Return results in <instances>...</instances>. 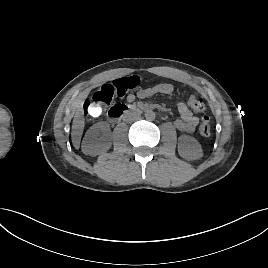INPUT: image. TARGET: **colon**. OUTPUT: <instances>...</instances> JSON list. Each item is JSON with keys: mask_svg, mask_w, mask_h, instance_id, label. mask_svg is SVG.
Listing matches in <instances>:
<instances>
[{"mask_svg": "<svg viewBox=\"0 0 268 268\" xmlns=\"http://www.w3.org/2000/svg\"><path fill=\"white\" fill-rule=\"evenodd\" d=\"M140 84L138 76L123 77L102 85L93 95L92 101L84 103V111L88 114L89 106L93 102H100L104 107L111 104L115 97H123L128 91ZM189 106L197 113L202 114L199 133L202 137H209L211 134V122L207 115V108L203 98L191 96L188 100Z\"/></svg>", "mask_w": 268, "mask_h": 268, "instance_id": "1", "label": "colon"}]
</instances>
